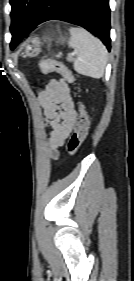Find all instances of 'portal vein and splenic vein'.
<instances>
[{"label": "portal vein and splenic vein", "instance_id": "1", "mask_svg": "<svg viewBox=\"0 0 134 281\" xmlns=\"http://www.w3.org/2000/svg\"><path fill=\"white\" fill-rule=\"evenodd\" d=\"M71 55L73 56V55H75V53L73 52V53H71Z\"/></svg>", "mask_w": 134, "mask_h": 281}]
</instances>
